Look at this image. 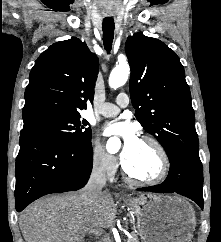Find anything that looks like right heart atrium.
I'll return each instance as SVG.
<instances>
[{"label": "right heart atrium", "mask_w": 221, "mask_h": 242, "mask_svg": "<svg viewBox=\"0 0 221 242\" xmlns=\"http://www.w3.org/2000/svg\"><path fill=\"white\" fill-rule=\"evenodd\" d=\"M91 162L95 170L107 176H113L119 167L117 157L108 153L98 142H94L92 145Z\"/></svg>", "instance_id": "1"}]
</instances>
